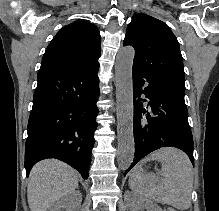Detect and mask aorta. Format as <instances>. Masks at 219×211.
Masks as SVG:
<instances>
[{
	"label": "aorta",
	"mask_w": 219,
	"mask_h": 211,
	"mask_svg": "<svg viewBox=\"0 0 219 211\" xmlns=\"http://www.w3.org/2000/svg\"><path fill=\"white\" fill-rule=\"evenodd\" d=\"M135 50L123 47L116 56L115 86L117 101L118 166L126 170L133 162L135 141L133 133V80L132 66Z\"/></svg>",
	"instance_id": "762f6f07"
}]
</instances>
